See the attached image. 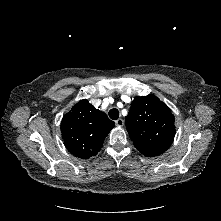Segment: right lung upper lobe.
I'll list each match as a JSON object with an SVG mask.
<instances>
[{
  "instance_id": "cb5924a9",
  "label": "right lung upper lobe",
  "mask_w": 221,
  "mask_h": 221,
  "mask_svg": "<svg viewBox=\"0 0 221 221\" xmlns=\"http://www.w3.org/2000/svg\"><path fill=\"white\" fill-rule=\"evenodd\" d=\"M113 127L114 122L86 99L75 104L61 121L66 148L81 159L95 156Z\"/></svg>"
}]
</instances>
